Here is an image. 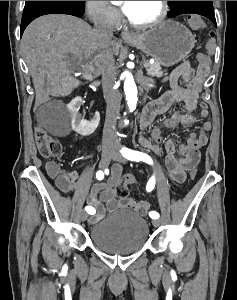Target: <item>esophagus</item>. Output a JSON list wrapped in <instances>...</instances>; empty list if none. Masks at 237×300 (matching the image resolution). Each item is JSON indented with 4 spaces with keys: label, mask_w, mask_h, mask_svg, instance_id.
Here are the masks:
<instances>
[{
    "label": "esophagus",
    "mask_w": 237,
    "mask_h": 300,
    "mask_svg": "<svg viewBox=\"0 0 237 300\" xmlns=\"http://www.w3.org/2000/svg\"><path fill=\"white\" fill-rule=\"evenodd\" d=\"M122 39L125 41H131L137 39L138 35L136 33H131L130 31H123L121 33Z\"/></svg>",
    "instance_id": "esophagus-1"
}]
</instances>
